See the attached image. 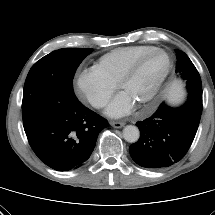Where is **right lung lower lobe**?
I'll return each mask as SVG.
<instances>
[{"label": "right lung lower lobe", "instance_id": "1", "mask_svg": "<svg viewBox=\"0 0 215 215\" xmlns=\"http://www.w3.org/2000/svg\"><path fill=\"white\" fill-rule=\"evenodd\" d=\"M107 120L81 102L64 106L25 131L38 158L57 171L79 168L90 157Z\"/></svg>", "mask_w": 215, "mask_h": 215}]
</instances>
